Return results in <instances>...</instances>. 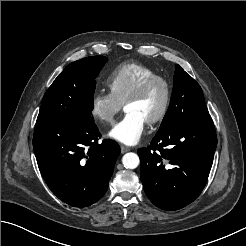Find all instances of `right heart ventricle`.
Returning a JSON list of instances; mask_svg holds the SVG:
<instances>
[{"label":"right heart ventricle","mask_w":246,"mask_h":246,"mask_svg":"<svg viewBox=\"0 0 246 246\" xmlns=\"http://www.w3.org/2000/svg\"><path fill=\"white\" fill-rule=\"evenodd\" d=\"M157 75L156 71L136 62H125L114 68L106 78L109 92L121 104L145 79Z\"/></svg>","instance_id":"obj_1"}]
</instances>
